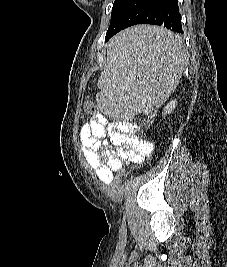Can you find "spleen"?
<instances>
[{"label":"spleen","mask_w":227,"mask_h":267,"mask_svg":"<svg viewBox=\"0 0 227 267\" xmlns=\"http://www.w3.org/2000/svg\"><path fill=\"white\" fill-rule=\"evenodd\" d=\"M114 42H108L109 51L104 76L99 82L101 93L97 100L103 115H147L156 106L134 104L163 103L176 88L184 68L181 40L156 22H137L130 29H122ZM123 107V110H120ZM109 125H116L114 116H107Z\"/></svg>","instance_id":"3e777b00"}]
</instances>
